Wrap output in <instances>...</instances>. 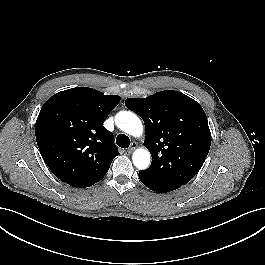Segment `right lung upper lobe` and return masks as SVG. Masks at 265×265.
<instances>
[{
	"instance_id": "1",
	"label": "right lung upper lobe",
	"mask_w": 265,
	"mask_h": 265,
	"mask_svg": "<svg viewBox=\"0 0 265 265\" xmlns=\"http://www.w3.org/2000/svg\"><path fill=\"white\" fill-rule=\"evenodd\" d=\"M119 102L117 95L76 87L44 103L36 121V141L58 179L79 187L105 176L119 152L103 123Z\"/></svg>"
}]
</instances>
